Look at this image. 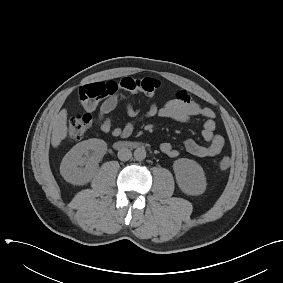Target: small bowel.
<instances>
[{
	"label": "small bowel",
	"instance_id": "obj_1",
	"mask_svg": "<svg viewBox=\"0 0 283 283\" xmlns=\"http://www.w3.org/2000/svg\"><path fill=\"white\" fill-rule=\"evenodd\" d=\"M116 82H98L83 86L79 91V100L83 109L92 112L98 107L99 101V125L104 133H111L117 138H127L132 135L138 122L154 117L172 119L181 123H188L195 117H202L205 121L202 129V137L206 144H200L193 139L184 142V150L196 157H215L221 153L225 146L222 136L215 134V112L194 101L184 90L178 91L176 96L163 105L152 103L142 113L140 108L131 102L126 104V113L130 118L123 126H113L112 118L108 116L118 105V94L115 91ZM160 150L166 156L175 158L180 151L169 142H163Z\"/></svg>",
	"mask_w": 283,
	"mask_h": 283
}]
</instances>
